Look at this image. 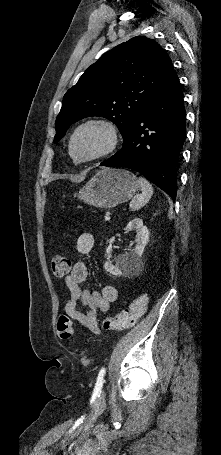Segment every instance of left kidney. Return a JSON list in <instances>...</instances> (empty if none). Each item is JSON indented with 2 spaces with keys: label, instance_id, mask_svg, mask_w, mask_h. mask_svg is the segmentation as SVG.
I'll use <instances>...</instances> for the list:
<instances>
[{
  "label": "left kidney",
  "instance_id": "5707ae66",
  "mask_svg": "<svg viewBox=\"0 0 221 455\" xmlns=\"http://www.w3.org/2000/svg\"><path fill=\"white\" fill-rule=\"evenodd\" d=\"M126 231H135V249L130 253L123 254L119 257L115 265L112 264L110 258L112 253V243L115 237H112L109 241L110 246L107 248V261L104 265L105 269L112 275L119 276L123 273H129L139 267L141 262V256L144 248L149 241V231L146 226L143 225V221L140 218H135L130 221L126 228Z\"/></svg>",
  "mask_w": 221,
  "mask_h": 455
}]
</instances>
